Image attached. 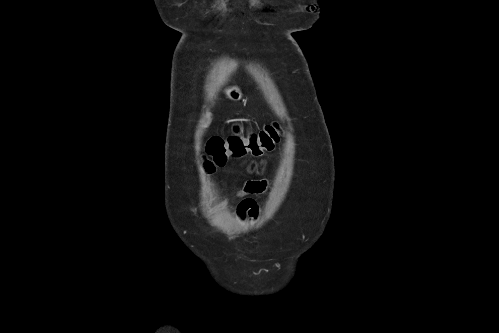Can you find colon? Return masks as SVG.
Wrapping results in <instances>:
<instances>
[{
    "label": "colon",
    "instance_id": "obj_1",
    "mask_svg": "<svg viewBox=\"0 0 499 333\" xmlns=\"http://www.w3.org/2000/svg\"><path fill=\"white\" fill-rule=\"evenodd\" d=\"M277 124L267 125L259 132L250 134H231L227 138L213 137L206 146L205 167L212 171L224 165L229 158H241L247 154L259 155L273 149L279 140Z\"/></svg>",
    "mask_w": 499,
    "mask_h": 333
}]
</instances>
